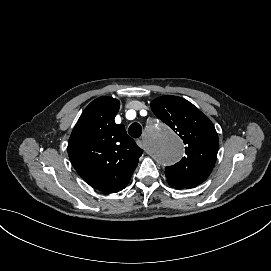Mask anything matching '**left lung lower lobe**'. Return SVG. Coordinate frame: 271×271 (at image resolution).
<instances>
[{
  "label": "left lung lower lobe",
  "instance_id": "0a47b994",
  "mask_svg": "<svg viewBox=\"0 0 271 271\" xmlns=\"http://www.w3.org/2000/svg\"><path fill=\"white\" fill-rule=\"evenodd\" d=\"M168 183H169V185H170L171 187L176 188V189H189V188H186V187H183V186L174 185V184H172V183H170V182H168Z\"/></svg>",
  "mask_w": 271,
  "mask_h": 271
}]
</instances>
